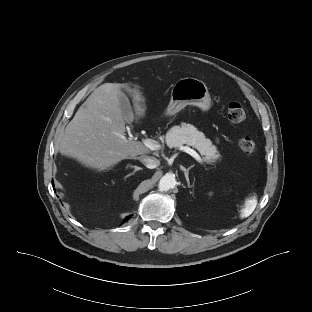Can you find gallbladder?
I'll list each match as a JSON object with an SVG mask.
<instances>
[{
	"label": "gallbladder",
	"instance_id": "1",
	"mask_svg": "<svg viewBox=\"0 0 312 312\" xmlns=\"http://www.w3.org/2000/svg\"><path fill=\"white\" fill-rule=\"evenodd\" d=\"M119 100H120V107H121L122 113L124 114V116H126L127 119H129V116L132 115L133 112H132L131 105L127 96H125L124 94H121Z\"/></svg>",
	"mask_w": 312,
	"mask_h": 312
}]
</instances>
